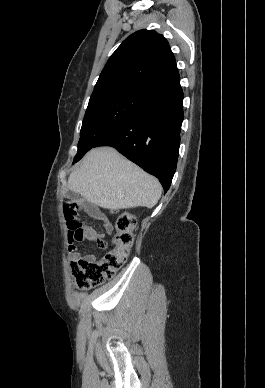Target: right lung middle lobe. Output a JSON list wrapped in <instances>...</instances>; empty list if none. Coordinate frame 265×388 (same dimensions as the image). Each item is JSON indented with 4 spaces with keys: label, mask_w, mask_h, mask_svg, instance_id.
<instances>
[{
    "label": "right lung middle lobe",
    "mask_w": 265,
    "mask_h": 388,
    "mask_svg": "<svg viewBox=\"0 0 265 388\" xmlns=\"http://www.w3.org/2000/svg\"><path fill=\"white\" fill-rule=\"evenodd\" d=\"M146 98L121 91L92 93L80 132L78 152L74 162L79 161L106 134L132 115Z\"/></svg>",
    "instance_id": "right-lung-middle-lobe-1"
}]
</instances>
